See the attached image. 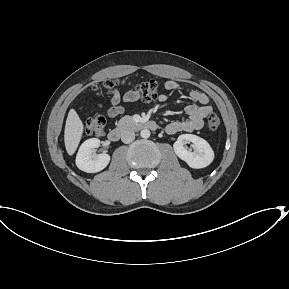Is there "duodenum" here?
<instances>
[{
	"label": "duodenum",
	"instance_id": "1",
	"mask_svg": "<svg viewBox=\"0 0 289 289\" xmlns=\"http://www.w3.org/2000/svg\"><path fill=\"white\" fill-rule=\"evenodd\" d=\"M156 128L157 124L154 121H142V122L127 121L122 123L118 127H115L112 130H110L108 133V139L112 142H116L127 130H142V129L155 130Z\"/></svg>",
	"mask_w": 289,
	"mask_h": 289
}]
</instances>
